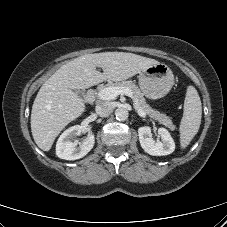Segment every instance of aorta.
I'll return each mask as SVG.
<instances>
[{"instance_id":"762f6f07","label":"aorta","mask_w":227,"mask_h":227,"mask_svg":"<svg viewBox=\"0 0 227 227\" xmlns=\"http://www.w3.org/2000/svg\"><path fill=\"white\" fill-rule=\"evenodd\" d=\"M128 115H129L128 111L126 109H123V108H118L115 111L116 119L119 120V121L127 120Z\"/></svg>"}]
</instances>
